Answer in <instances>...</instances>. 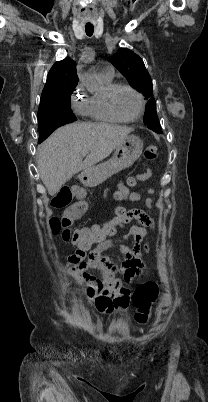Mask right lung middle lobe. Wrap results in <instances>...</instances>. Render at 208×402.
Segmentation results:
<instances>
[{"label":"right lung middle lobe","mask_w":208,"mask_h":402,"mask_svg":"<svg viewBox=\"0 0 208 402\" xmlns=\"http://www.w3.org/2000/svg\"><path fill=\"white\" fill-rule=\"evenodd\" d=\"M75 87L52 91L41 97L38 110V123L47 120H57L65 124L76 121V116L70 108V97ZM38 142L46 137L39 131Z\"/></svg>","instance_id":"right-lung-middle-lobe-1"}]
</instances>
